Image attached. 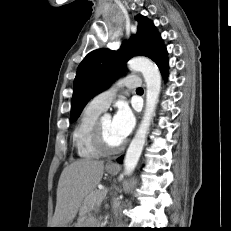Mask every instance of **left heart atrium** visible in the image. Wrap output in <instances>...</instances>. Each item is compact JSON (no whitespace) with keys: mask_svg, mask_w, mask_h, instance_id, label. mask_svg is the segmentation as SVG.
<instances>
[{"mask_svg":"<svg viewBox=\"0 0 231 231\" xmlns=\"http://www.w3.org/2000/svg\"><path fill=\"white\" fill-rule=\"evenodd\" d=\"M112 126L121 142H123L132 132L135 126V117L127 105L121 104L118 107L112 119Z\"/></svg>","mask_w":231,"mask_h":231,"instance_id":"39dd6f15","label":"left heart atrium"}]
</instances>
